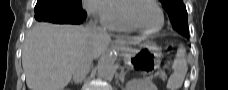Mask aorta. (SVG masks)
Masks as SVG:
<instances>
[{"label":"aorta","instance_id":"762f6f07","mask_svg":"<svg viewBox=\"0 0 228 90\" xmlns=\"http://www.w3.org/2000/svg\"><path fill=\"white\" fill-rule=\"evenodd\" d=\"M116 56L114 53L106 54L98 63L97 72L99 77L107 78L115 68Z\"/></svg>","mask_w":228,"mask_h":90}]
</instances>
